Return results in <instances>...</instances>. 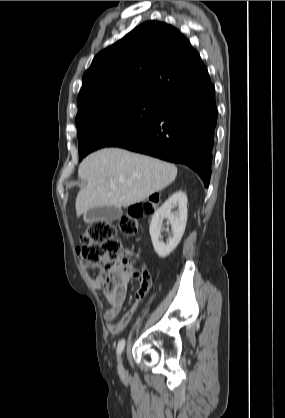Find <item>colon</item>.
Here are the masks:
<instances>
[{"label": "colon", "instance_id": "obj_1", "mask_svg": "<svg viewBox=\"0 0 285 418\" xmlns=\"http://www.w3.org/2000/svg\"><path fill=\"white\" fill-rule=\"evenodd\" d=\"M154 211L155 203L152 201H141L131 206L129 214L121 218V232L126 236L135 235L139 228L138 219L150 217ZM80 241L78 255L83 262L91 265L99 264L105 257L117 256L121 249V243L116 238L115 227L107 222L90 224L81 235ZM136 263L135 259L116 258L98 278V285L104 287L105 279L114 270L120 271L124 276H138L139 273L134 268Z\"/></svg>", "mask_w": 285, "mask_h": 418}]
</instances>
